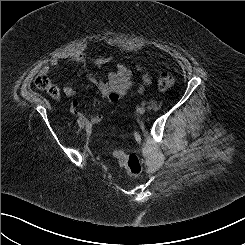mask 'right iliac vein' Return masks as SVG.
<instances>
[{
    "label": "right iliac vein",
    "instance_id": "right-iliac-vein-1",
    "mask_svg": "<svg viewBox=\"0 0 245 245\" xmlns=\"http://www.w3.org/2000/svg\"><path fill=\"white\" fill-rule=\"evenodd\" d=\"M85 124L81 123L80 128H84Z\"/></svg>",
    "mask_w": 245,
    "mask_h": 245
}]
</instances>
